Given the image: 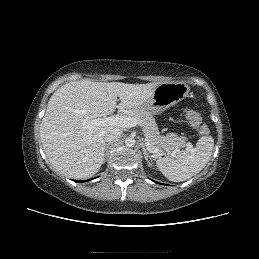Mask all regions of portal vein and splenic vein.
<instances>
[{"mask_svg": "<svg viewBox=\"0 0 259 259\" xmlns=\"http://www.w3.org/2000/svg\"><path fill=\"white\" fill-rule=\"evenodd\" d=\"M82 124L84 127L90 130H92L93 128L99 125H111V126H118V127H124V128H131L137 125L142 126L137 118L125 117V116H110L102 119L97 118L92 120H83ZM145 146L148 149V151L152 153L160 152L159 149L151 146L146 134H145ZM188 148H192V145L189 144Z\"/></svg>", "mask_w": 259, "mask_h": 259, "instance_id": "18ae733b", "label": "portal vein and splenic vein"}]
</instances>
